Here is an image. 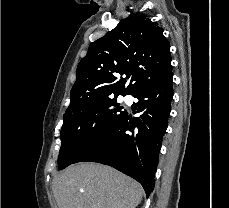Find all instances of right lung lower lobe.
<instances>
[{"mask_svg":"<svg viewBox=\"0 0 229 208\" xmlns=\"http://www.w3.org/2000/svg\"><path fill=\"white\" fill-rule=\"evenodd\" d=\"M172 68L163 77L142 86L133 119L125 111L119 123L84 150L73 163L106 164L140 182L147 197L154 189L158 154L167 128L173 97Z\"/></svg>","mask_w":229,"mask_h":208,"instance_id":"right-lung-lower-lobe-1","label":"right lung lower lobe"}]
</instances>
